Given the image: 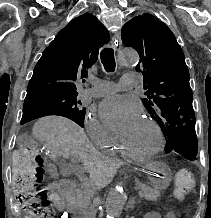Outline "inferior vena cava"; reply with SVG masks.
I'll list each match as a JSON object with an SVG mask.
<instances>
[{
	"label": "inferior vena cava",
	"mask_w": 211,
	"mask_h": 218,
	"mask_svg": "<svg viewBox=\"0 0 211 218\" xmlns=\"http://www.w3.org/2000/svg\"><path fill=\"white\" fill-rule=\"evenodd\" d=\"M94 186H96V188H98V186H101V184H97V182H94Z\"/></svg>",
	"instance_id": "obj_1"
}]
</instances>
